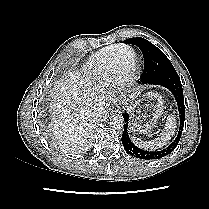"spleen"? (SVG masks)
Returning a JSON list of instances; mask_svg holds the SVG:
<instances>
[{"label":"spleen","instance_id":"3e777b00","mask_svg":"<svg viewBox=\"0 0 209 209\" xmlns=\"http://www.w3.org/2000/svg\"><path fill=\"white\" fill-rule=\"evenodd\" d=\"M175 116L169 115L166 119V123L164 126V129L161 131L160 135L151 140V141H142L138 138L133 137V141L135 144L141 148L148 149V150H156L164 145L171 139V137L175 133Z\"/></svg>","mask_w":209,"mask_h":209}]
</instances>
